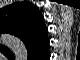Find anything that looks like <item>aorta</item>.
<instances>
[{"mask_svg": "<svg viewBox=\"0 0 80 60\" xmlns=\"http://www.w3.org/2000/svg\"><path fill=\"white\" fill-rule=\"evenodd\" d=\"M4 41L6 45L16 54L27 55V50L24 43L17 37L11 35H5Z\"/></svg>", "mask_w": 80, "mask_h": 60, "instance_id": "aorta-1", "label": "aorta"}]
</instances>
